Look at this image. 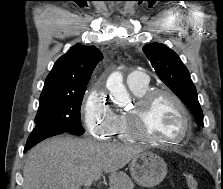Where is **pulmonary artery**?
Returning a JSON list of instances; mask_svg holds the SVG:
<instances>
[{
  "mask_svg": "<svg viewBox=\"0 0 223 189\" xmlns=\"http://www.w3.org/2000/svg\"><path fill=\"white\" fill-rule=\"evenodd\" d=\"M149 82L147 74L142 70L132 71L127 78V85L129 88H142L147 86Z\"/></svg>",
  "mask_w": 223,
  "mask_h": 189,
  "instance_id": "e3ab8cb5",
  "label": "pulmonary artery"
}]
</instances>
